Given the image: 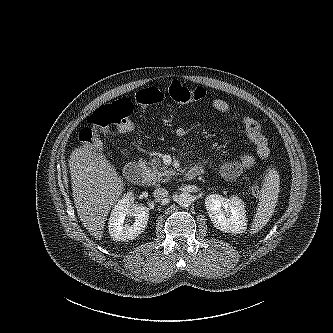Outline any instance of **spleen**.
I'll return each instance as SVG.
<instances>
[{
	"instance_id": "spleen-1",
	"label": "spleen",
	"mask_w": 333,
	"mask_h": 333,
	"mask_svg": "<svg viewBox=\"0 0 333 333\" xmlns=\"http://www.w3.org/2000/svg\"><path fill=\"white\" fill-rule=\"evenodd\" d=\"M279 187L278 171L275 168H269L265 174L262 188L258 193L259 202L251 225V234L259 232L270 220L278 201Z\"/></svg>"
}]
</instances>
